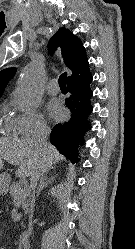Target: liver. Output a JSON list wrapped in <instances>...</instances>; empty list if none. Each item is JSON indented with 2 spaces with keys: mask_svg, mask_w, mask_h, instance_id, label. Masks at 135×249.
<instances>
[{
  "mask_svg": "<svg viewBox=\"0 0 135 249\" xmlns=\"http://www.w3.org/2000/svg\"><path fill=\"white\" fill-rule=\"evenodd\" d=\"M2 159L19 166L16 171L17 176L31 177L39 168L46 172L65 158L49 143L45 149H40L30 138L22 140L0 138V160Z\"/></svg>",
  "mask_w": 135,
  "mask_h": 249,
  "instance_id": "1",
  "label": "liver"
}]
</instances>
